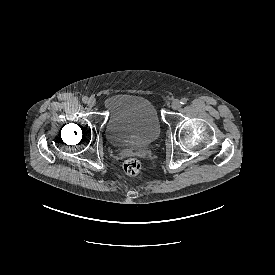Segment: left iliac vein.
Returning <instances> with one entry per match:
<instances>
[{
    "mask_svg": "<svg viewBox=\"0 0 275 275\" xmlns=\"http://www.w3.org/2000/svg\"><path fill=\"white\" fill-rule=\"evenodd\" d=\"M171 107H172L174 110L180 109V107H181L180 101L177 100V99H175V100L172 102Z\"/></svg>",
    "mask_w": 275,
    "mask_h": 275,
    "instance_id": "1",
    "label": "left iliac vein"
}]
</instances>
